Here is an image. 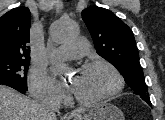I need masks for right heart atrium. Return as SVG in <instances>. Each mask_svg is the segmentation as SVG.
Listing matches in <instances>:
<instances>
[{
    "label": "right heart atrium",
    "instance_id": "1",
    "mask_svg": "<svg viewBox=\"0 0 165 120\" xmlns=\"http://www.w3.org/2000/svg\"><path fill=\"white\" fill-rule=\"evenodd\" d=\"M29 89L32 96L41 101L61 102L65 99L64 91L42 70L31 72Z\"/></svg>",
    "mask_w": 165,
    "mask_h": 120
}]
</instances>
